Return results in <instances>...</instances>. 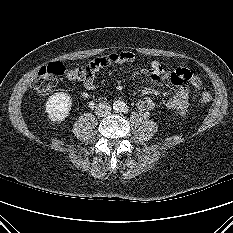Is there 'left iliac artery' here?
<instances>
[{"instance_id":"44dca946","label":"left iliac artery","mask_w":233,"mask_h":233,"mask_svg":"<svg viewBox=\"0 0 233 233\" xmlns=\"http://www.w3.org/2000/svg\"><path fill=\"white\" fill-rule=\"evenodd\" d=\"M121 110H122V112L127 113V112H128V107L124 105V106L121 108Z\"/></svg>"}]
</instances>
